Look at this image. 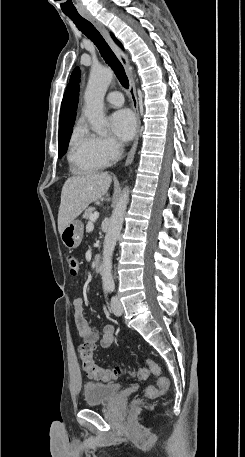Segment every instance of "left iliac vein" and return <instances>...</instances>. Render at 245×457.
<instances>
[{"mask_svg": "<svg viewBox=\"0 0 245 457\" xmlns=\"http://www.w3.org/2000/svg\"><path fill=\"white\" fill-rule=\"evenodd\" d=\"M111 308L116 316H120L123 313V306L116 296H113L111 299Z\"/></svg>", "mask_w": 245, "mask_h": 457, "instance_id": "left-iliac-vein-1", "label": "left iliac vein"}]
</instances>
